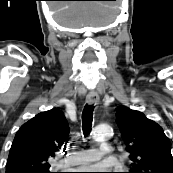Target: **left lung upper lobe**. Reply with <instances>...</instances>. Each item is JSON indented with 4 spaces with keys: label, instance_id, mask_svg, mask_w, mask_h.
<instances>
[{
    "label": "left lung upper lobe",
    "instance_id": "obj_1",
    "mask_svg": "<svg viewBox=\"0 0 173 173\" xmlns=\"http://www.w3.org/2000/svg\"><path fill=\"white\" fill-rule=\"evenodd\" d=\"M116 117L133 162L129 173H173L170 141L160 125L125 106L116 109Z\"/></svg>",
    "mask_w": 173,
    "mask_h": 173
}]
</instances>
